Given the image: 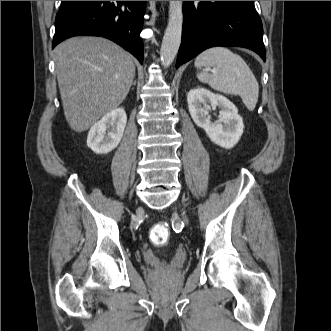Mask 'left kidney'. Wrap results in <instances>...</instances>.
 Returning a JSON list of instances; mask_svg holds the SVG:
<instances>
[{"instance_id":"left-kidney-1","label":"left kidney","mask_w":331,"mask_h":331,"mask_svg":"<svg viewBox=\"0 0 331 331\" xmlns=\"http://www.w3.org/2000/svg\"><path fill=\"white\" fill-rule=\"evenodd\" d=\"M187 102L193 121L205 130L212 142L225 149H231L238 143L244 124L236 106L230 100L204 88H196L189 91ZM216 107L221 108L219 121L213 123L209 111L215 110Z\"/></svg>"}]
</instances>
